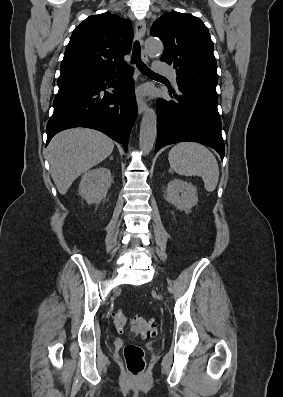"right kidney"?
Listing matches in <instances>:
<instances>
[{
    "instance_id": "right-kidney-1",
    "label": "right kidney",
    "mask_w": 283,
    "mask_h": 397,
    "mask_svg": "<svg viewBox=\"0 0 283 397\" xmlns=\"http://www.w3.org/2000/svg\"><path fill=\"white\" fill-rule=\"evenodd\" d=\"M111 182V172L108 168L98 167L86 171L82 175L79 185V195L85 199L88 204L99 203L106 197Z\"/></svg>"
}]
</instances>
